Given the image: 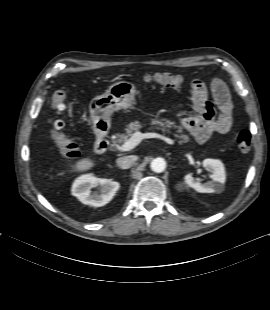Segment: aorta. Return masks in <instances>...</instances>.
Returning a JSON list of instances; mask_svg holds the SVG:
<instances>
[{
  "label": "aorta",
  "mask_w": 270,
  "mask_h": 310,
  "mask_svg": "<svg viewBox=\"0 0 270 310\" xmlns=\"http://www.w3.org/2000/svg\"><path fill=\"white\" fill-rule=\"evenodd\" d=\"M151 170L155 173H161L166 168V162L163 158H155L152 160L150 164Z\"/></svg>",
  "instance_id": "1"
}]
</instances>
